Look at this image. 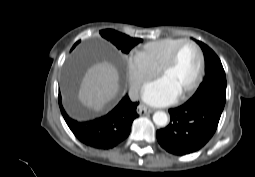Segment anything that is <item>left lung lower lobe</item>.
I'll use <instances>...</instances> for the list:
<instances>
[{
    "mask_svg": "<svg viewBox=\"0 0 255 177\" xmlns=\"http://www.w3.org/2000/svg\"><path fill=\"white\" fill-rule=\"evenodd\" d=\"M224 105L221 99L208 97L169 109V125L156 133L159 144L174 155L198 151L214 135Z\"/></svg>",
    "mask_w": 255,
    "mask_h": 177,
    "instance_id": "left-lung-lower-lobe-1",
    "label": "left lung lower lobe"
}]
</instances>
